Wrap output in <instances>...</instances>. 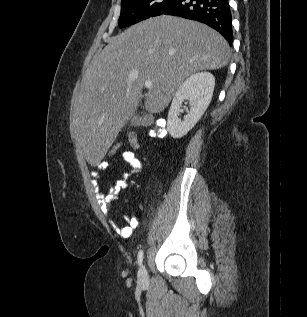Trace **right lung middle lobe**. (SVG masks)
<instances>
[{
	"label": "right lung middle lobe",
	"mask_w": 307,
	"mask_h": 317,
	"mask_svg": "<svg viewBox=\"0 0 307 317\" xmlns=\"http://www.w3.org/2000/svg\"><path fill=\"white\" fill-rule=\"evenodd\" d=\"M174 2L175 0H122L119 27L123 28L161 15Z\"/></svg>",
	"instance_id": "obj_1"
}]
</instances>
